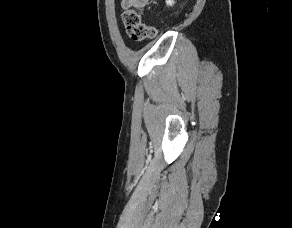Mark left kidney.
Segmentation results:
<instances>
[{
  "label": "left kidney",
  "mask_w": 292,
  "mask_h": 228,
  "mask_svg": "<svg viewBox=\"0 0 292 228\" xmlns=\"http://www.w3.org/2000/svg\"><path fill=\"white\" fill-rule=\"evenodd\" d=\"M166 4L168 6H172L174 4V0H166Z\"/></svg>",
  "instance_id": "left-kidney-1"
}]
</instances>
